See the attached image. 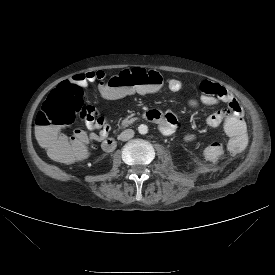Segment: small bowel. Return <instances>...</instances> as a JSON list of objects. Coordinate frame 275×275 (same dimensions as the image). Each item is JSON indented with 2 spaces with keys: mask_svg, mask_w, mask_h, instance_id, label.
<instances>
[{
  "mask_svg": "<svg viewBox=\"0 0 275 275\" xmlns=\"http://www.w3.org/2000/svg\"><path fill=\"white\" fill-rule=\"evenodd\" d=\"M103 77L104 73L101 71L88 72L86 74H76L70 81L78 83L82 87H87L89 83L95 80H101ZM166 85L168 89L173 92H179L183 88V83L175 78H168ZM199 88L202 92L201 97L199 100H190V104L194 107L199 105L214 106L223 102V109L207 115L206 124L210 127L222 125L229 138V151L233 154L240 153L247 145L248 136L246 123L243 119L239 103L231 92L219 84L212 83V81L208 79L201 81ZM148 117L149 120L159 126L160 131L166 135L173 134L177 129L178 120L176 115L171 111L162 113L159 109L152 108L148 112ZM84 122L89 130H99V132H91L88 135L78 131L92 146L107 137L109 127L104 118L98 116L95 109L94 113L89 115ZM224 153L225 150L221 143L216 140H211L206 143L201 157L207 165L214 166L221 161Z\"/></svg>",
  "mask_w": 275,
  "mask_h": 275,
  "instance_id": "small-bowel-1",
  "label": "small bowel"
}]
</instances>
